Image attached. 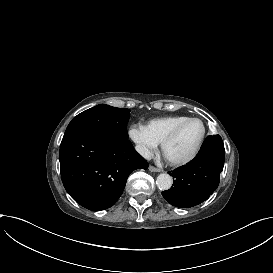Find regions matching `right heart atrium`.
<instances>
[{"instance_id": "1", "label": "right heart atrium", "mask_w": 273, "mask_h": 273, "mask_svg": "<svg viewBox=\"0 0 273 273\" xmlns=\"http://www.w3.org/2000/svg\"><path fill=\"white\" fill-rule=\"evenodd\" d=\"M129 136L140 155L149 158L154 153L157 143L151 138L145 126L133 124L129 129Z\"/></svg>"}]
</instances>
